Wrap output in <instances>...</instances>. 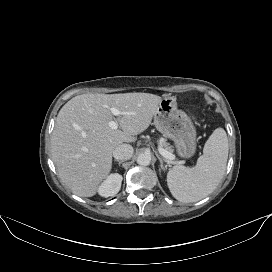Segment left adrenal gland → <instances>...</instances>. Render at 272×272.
I'll use <instances>...</instances> for the list:
<instances>
[{"label":"left adrenal gland","mask_w":272,"mask_h":272,"mask_svg":"<svg viewBox=\"0 0 272 272\" xmlns=\"http://www.w3.org/2000/svg\"><path fill=\"white\" fill-rule=\"evenodd\" d=\"M157 158L159 159V162H160V168L162 169V170H166L167 169V166H164V164H163V160H162V158L157 154Z\"/></svg>","instance_id":"obj_1"}]
</instances>
